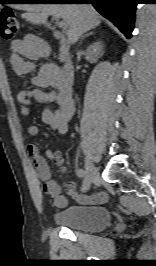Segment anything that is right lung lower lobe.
I'll return each instance as SVG.
<instances>
[{"mask_svg":"<svg viewBox=\"0 0 156 266\" xmlns=\"http://www.w3.org/2000/svg\"><path fill=\"white\" fill-rule=\"evenodd\" d=\"M57 4H92L104 17L111 20L127 37L132 36L135 9L139 0H46Z\"/></svg>","mask_w":156,"mask_h":266,"instance_id":"right-lung-lower-lobe-1","label":"right lung lower lobe"}]
</instances>
